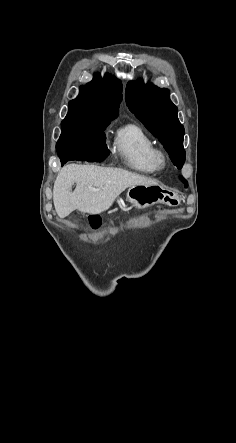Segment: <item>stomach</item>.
Wrapping results in <instances>:
<instances>
[{
    "instance_id": "stomach-1",
    "label": "stomach",
    "mask_w": 236,
    "mask_h": 443,
    "mask_svg": "<svg viewBox=\"0 0 236 443\" xmlns=\"http://www.w3.org/2000/svg\"><path fill=\"white\" fill-rule=\"evenodd\" d=\"M127 200L132 207L143 209L156 203H165L169 206H177L179 200L175 194L165 190L159 185H136L129 188Z\"/></svg>"
}]
</instances>
